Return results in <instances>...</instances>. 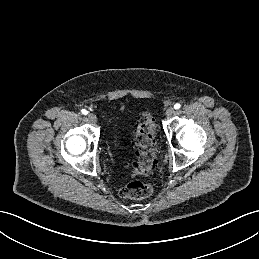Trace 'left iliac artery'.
Instances as JSON below:
<instances>
[{"label": "left iliac artery", "mask_w": 259, "mask_h": 259, "mask_svg": "<svg viewBox=\"0 0 259 259\" xmlns=\"http://www.w3.org/2000/svg\"><path fill=\"white\" fill-rule=\"evenodd\" d=\"M181 107V105L179 104V103H176L175 105H174V108L175 109H179Z\"/></svg>", "instance_id": "obj_1"}]
</instances>
